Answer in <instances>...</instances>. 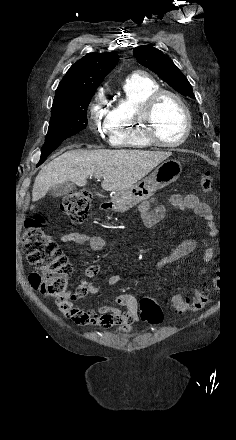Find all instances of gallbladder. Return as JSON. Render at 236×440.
I'll list each match as a JSON object with an SVG mask.
<instances>
[{
  "label": "gallbladder",
  "instance_id": "1",
  "mask_svg": "<svg viewBox=\"0 0 236 440\" xmlns=\"http://www.w3.org/2000/svg\"><path fill=\"white\" fill-rule=\"evenodd\" d=\"M76 186L74 183L68 181V182H63L60 184H57L55 186H53L49 193L52 197L58 198V197H62L64 195H67L68 193H70L71 191L75 190Z\"/></svg>",
  "mask_w": 236,
  "mask_h": 440
}]
</instances>
